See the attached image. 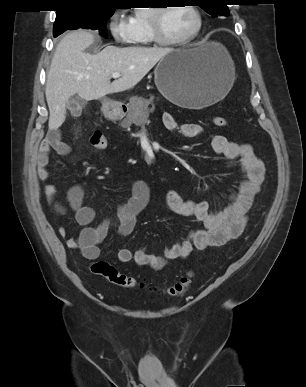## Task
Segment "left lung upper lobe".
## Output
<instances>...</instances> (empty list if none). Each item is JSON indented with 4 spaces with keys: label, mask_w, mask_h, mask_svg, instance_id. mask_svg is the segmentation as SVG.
<instances>
[{
    "label": "left lung upper lobe",
    "mask_w": 306,
    "mask_h": 387,
    "mask_svg": "<svg viewBox=\"0 0 306 387\" xmlns=\"http://www.w3.org/2000/svg\"><path fill=\"white\" fill-rule=\"evenodd\" d=\"M212 17L228 16L227 0H195Z\"/></svg>",
    "instance_id": "1"
}]
</instances>
